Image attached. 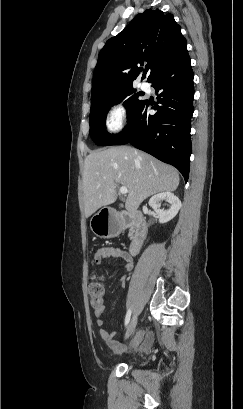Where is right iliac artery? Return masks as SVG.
Masks as SVG:
<instances>
[{"label": "right iliac artery", "instance_id": "right-iliac-artery-1", "mask_svg": "<svg viewBox=\"0 0 243 409\" xmlns=\"http://www.w3.org/2000/svg\"><path fill=\"white\" fill-rule=\"evenodd\" d=\"M130 317H131V309H128L126 317H125V326L128 325V323L130 321Z\"/></svg>", "mask_w": 243, "mask_h": 409}]
</instances>
